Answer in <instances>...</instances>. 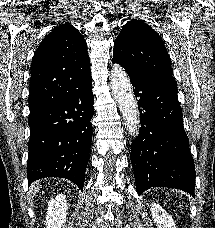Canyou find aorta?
I'll use <instances>...</instances> for the list:
<instances>
[{"mask_svg":"<svg viewBox=\"0 0 215 228\" xmlns=\"http://www.w3.org/2000/svg\"><path fill=\"white\" fill-rule=\"evenodd\" d=\"M110 84L112 94L122 114L126 130L135 138L139 134L140 116L131 82L124 68H120V66L113 68L110 76Z\"/></svg>","mask_w":215,"mask_h":228,"instance_id":"1","label":"aorta"}]
</instances>
